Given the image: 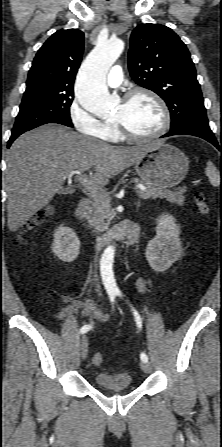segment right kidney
Here are the masks:
<instances>
[{
    "mask_svg": "<svg viewBox=\"0 0 222 447\" xmlns=\"http://www.w3.org/2000/svg\"><path fill=\"white\" fill-rule=\"evenodd\" d=\"M52 251L60 260L72 262L79 254L80 240L71 228L60 226L54 233Z\"/></svg>",
    "mask_w": 222,
    "mask_h": 447,
    "instance_id": "right-kidney-1",
    "label": "right kidney"
}]
</instances>
